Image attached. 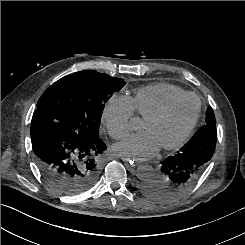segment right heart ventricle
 Returning a JSON list of instances; mask_svg holds the SVG:
<instances>
[{
    "label": "right heart ventricle",
    "mask_w": 245,
    "mask_h": 245,
    "mask_svg": "<svg viewBox=\"0 0 245 245\" xmlns=\"http://www.w3.org/2000/svg\"><path fill=\"white\" fill-rule=\"evenodd\" d=\"M185 93L187 92L178 86L156 83L137 89L132 100L135 111L145 119L170 99Z\"/></svg>",
    "instance_id": "right-heart-ventricle-1"
}]
</instances>
